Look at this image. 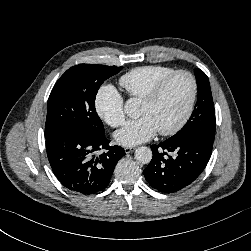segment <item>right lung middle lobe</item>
<instances>
[{
	"instance_id": "1",
	"label": "right lung middle lobe",
	"mask_w": 251,
	"mask_h": 251,
	"mask_svg": "<svg viewBox=\"0 0 251 251\" xmlns=\"http://www.w3.org/2000/svg\"><path fill=\"white\" fill-rule=\"evenodd\" d=\"M122 67L79 64L68 69L55 83L49 99L45 137L65 128H83L104 135L95 109L99 87Z\"/></svg>"
}]
</instances>
